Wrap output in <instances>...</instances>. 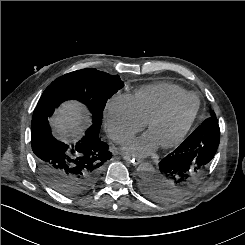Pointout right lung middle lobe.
<instances>
[{
	"mask_svg": "<svg viewBox=\"0 0 245 245\" xmlns=\"http://www.w3.org/2000/svg\"><path fill=\"white\" fill-rule=\"evenodd\" d=\"M124 86L118 75H110L94 68L77 70L53 81L42 94L39 104L58 107L67 100L84 103L92 113L90 133H99L106 102Z\"/></svg>",
	"mask_w": 245,
	"mask_h": 245,
	"instance_id": "1",
	"label": "right lung middle lobe"
}]
</instances>
